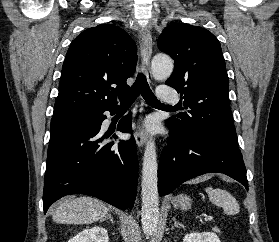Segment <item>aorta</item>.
Here are the masks:
<instances>
[{"label": "aorta", "mask_w": 279, "mask_h": 242, "mask_svg": "<svg viewBox=\"0 0 279 242\" xmlns=\"http://www.w3.org/2000/svg\"><path fill=\"white\" fill-rule=\"evenodd\" d=\"M152 72L156 79L168 78L174 68L172 59L163 54L153 57L151 62ZM157 154L153 140L147 142L142 164V229L146 235H152L159 221V199H158V176H157Z\"/></svg>", "instance_id": "obj_1"}]
</instances>
